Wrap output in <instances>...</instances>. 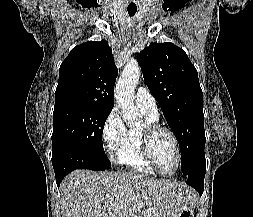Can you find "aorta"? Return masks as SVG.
<instances>
[{
    "mask_svg": "<svg viewBox=\"0 0 253 217\" xmlns=\"http://www.w3.org/2000/svg\"><path fill=\"white\" fill-rule=\"evenodd\" d=\"M140 76V67L134 62L127 63L115 87V100L121 108L124 121L130 125L136 124L140 117L134 105L135 86Z\"/></svg>",
    "mask_w": 253,
    "mask_h": 217,
    "instance_id": "obj_1",
    "label": "aorta"
}]
</instances>
